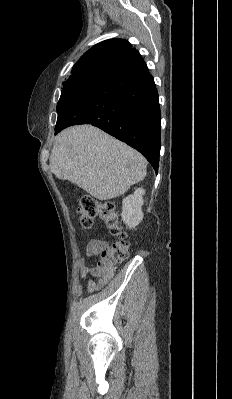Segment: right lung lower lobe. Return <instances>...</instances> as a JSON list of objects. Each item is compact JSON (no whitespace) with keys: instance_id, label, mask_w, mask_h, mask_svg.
Segmentation results:
<instances>
[{"instance_id":"right-lung-lower-lobe-1","label":"right lung lower lobe","mask_w":232,"mask_h":399,"mask_svg":"<svg viewBox=\"0 0 232 399\" xmlns=\"http://www.w3.org/2000/svg\"><path fill=\"white\" fill-rule=\"evenodd\" d=\"M92 124L142 153L158 171L161 113L153 77L143 61L109 77L59 111L55 131Z\"/></svg>"}]
</instances>
